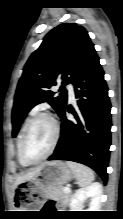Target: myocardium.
<instances>
[{
  "instance_id": "myocardium-1",
  "label": "myocardium",
  "mask_w": 123,
  "mask_h": 219,
  "mask_svg": "<svg viewBox=\"0 0 123 219\" xmlns=\"http://www.w3.org/2000/svg\"><path fill=\"white\" fill-rule=\"evenodd\" d=\"M38 118H45L51 123L52 128H53V138H52V142H51L47 152L42 157H40L37 160H30L29 158H27V156L25 155V152H24V140H25L27 131H28L31 123ZM59 137H60V127H59L57 120L55 119V117L53 115H51L48 112H37V113L33 114L25 123L23 130H22V133L20 135L19 153H20L21 159L29 165L38 164V163L44 161L54 151V149L59 141Z\"/></svg>"
}]
</instances>
